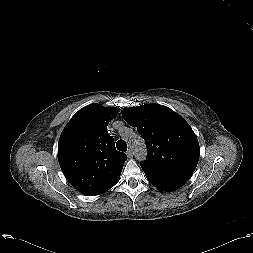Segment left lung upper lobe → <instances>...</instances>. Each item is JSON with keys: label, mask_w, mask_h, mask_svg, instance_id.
I'll use <instances>...</instances> for the list:
<instances>
[{"label": "left lung upper lobe", "mask_w": 253, "mask_h": 253, "mask_svg": "<svg viewBox=\"0 0 253 253\" xmlns=\"http://www.w3.org/2000/svg\"><path fill=\"white\" fill-rule=\"evenodd\" d=\"M122 117L145 140L148 155L141 164L195 170L199 143L180 115L163 105L146 104L122 110Z\"/></svg>", "instance_id": "left-lung-upper-lobe-1"}]
</instances>
